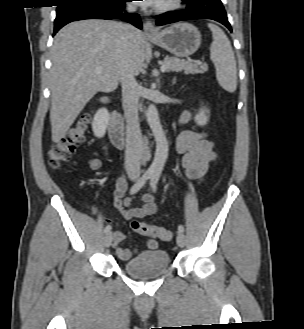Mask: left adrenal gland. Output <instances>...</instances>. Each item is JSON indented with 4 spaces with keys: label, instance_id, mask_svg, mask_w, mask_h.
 <instances>
[{
    "label": "left adrenal gland",
    "instance_id": "a2214340",
    "mask_svg": "<svg viewBox=\"0 0 304 329\" xmlns=\"http://www.w3.org/2000/svg\"><path fill=\"white\" fill-rule=\"evenodd\" d=\"M175 83V79H173V84Z\"/></svg>",
    "mask_w": 304,
    "mask_h": 329
}]
</instances>
